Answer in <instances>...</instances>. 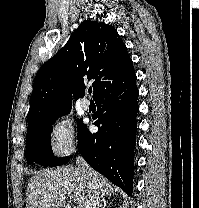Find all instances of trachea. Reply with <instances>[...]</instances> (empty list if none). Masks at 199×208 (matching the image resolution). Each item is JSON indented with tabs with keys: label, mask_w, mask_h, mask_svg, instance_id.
<instances>
[{
	"label": "trachea",
	"mask_w": 199,
	"mask_h": 208,
	"mask_svg": "<svg viewBox=\"0 0 199 208\" xmlns=\"http://www.w3.org/2000/svg\"><path fill=\"white\" fill-rule=\"evenodd\" d=\"M91 93H92V89L89 90V94H91Z\"/></svg>",
	"instance_id": "3493384b"
}]
</instances>
